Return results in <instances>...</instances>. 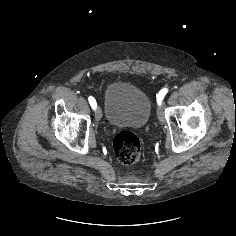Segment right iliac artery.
I'll return each instance as SVG.
<instances>
[{
  "label": "right iliac artery",
  "mask_w": 236,
  "mask_h": 236,
  "mask_svg": "<svg viewBox=\"0 0 236 236\" xmlns=\"http://www.w3.org/2000/svg\"><path fill=\"white\" fill-rule=\"evenodd\" d=\"M88 101H89V103H90V106L93 108V110H95L96 107H97L96 100H95L92 96H90V97L88 98Z\"/></svg>",
  "instance_id": "right-iliac-artery-1"
}]
</instances>
